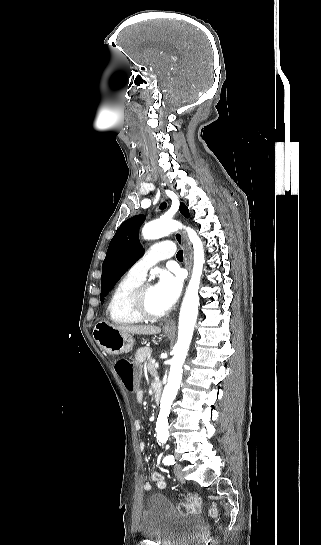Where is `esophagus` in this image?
Returning a JSON list of instances; mask_svg holds the SVG:
<instances>
[{
	"mask_svg": "<svg viewBox=\"0 0 321 545\" xmlns=\"http://www.w3.org/2000/svg\"><path fill=\"white\" fill-rule=\"evenodd\" d=\"M175 240L178 244H182L184 247V263L185 267L188 270V274L190 275L191 272V266H192V249L191 245L188 241L187 235L185 232L181 230H177L175 232ZM175 327L174 322H168L164 325L165 329H173Z\"/></svg>",
	"mask_w": 321,
	"mask_h": 545,
	"instance_id": "esophagus-1",
	"label": "esophagus"
}]
</instances>
